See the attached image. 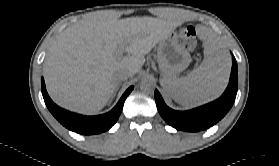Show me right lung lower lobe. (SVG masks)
Returning <instances> with one entry per match:
<instances>
[{
    "instance_id": "1",
    "label": "right lung lower lobe",
    "mask_w": 279,
    "mask_h": 166,
    "mask_svg": "<svg viewBox=\"0 0 279 166\" xmlns=\"http://www.w3.org/2000/svg\"><path fill=\"white\" fill-rule=\"evenodd\" d=\"M41 87L45 104L53 116L66 128L83 135L98 134L110 129L118 120L125 99L133 90V86L128 88L110 112L99 116H83L66 111L54 104L46 91L43 78Z\"/></svg>"
}]
</instances>
